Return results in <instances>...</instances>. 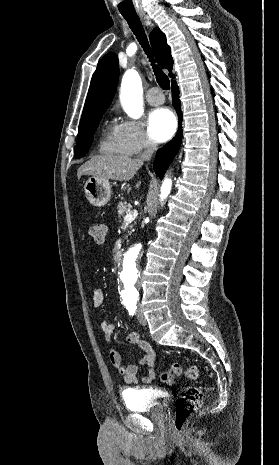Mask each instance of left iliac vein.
Listing matches in <instances>:
<instances>
[{
  "label": "left iliac vein",
  "instance_id": "4c4485c4",
  "mask_svg": "<svg viewBox=\"0 0 279 465\" xmlns=\"http://www.w3.org/2000/svg\"><path fill=\"white\" fill-rule=\"evenodd\" d=\"M137 318L141 325L145 326L147 324L146 318L140 310L137 311Z\"/></svg>",
  "mask_w": 279,
  "mask_h": 465
}]
</instances>
